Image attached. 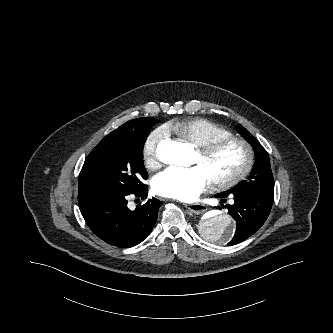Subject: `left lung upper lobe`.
<instances>
[{"instance_id": "5c2ea615", "label": "left lung upper lobe", "mask_w": 333, "mask_h": 333, "mask_svg": "<svg viewBox=\"0 0 333 333\" xmlns=\"http://www.w3.org/2000/svg\"><path fill=\"white\" fill-rule=\"evenodd\" d=\"M239 133L252 145L256 155V161L251 174L246 180H242L229 193H255L273 198L274 178L271 171L269 155L259 141L251 135L243 126L239 125Z\"/></svg>"}]
</instances>
